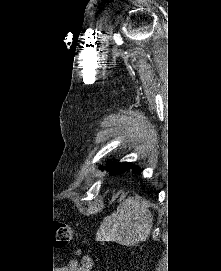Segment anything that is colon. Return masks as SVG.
Returning <instances> with one entry per match:
<instances>
[{
    "label": "colon",
    "mask_w": 221,
    "mask_h": 271,
    "mask_svg": "<svg viewBox=\"0 0 221 271\" xmlns=\"http://www.w3.org/2000/svg\"><path fill=\"white\" fill-rule=\"evenodd\" d=\"M73 228L69 223H62L56 228L55 239L58 245H66L73 239Z\"/></svg>",
    "instance_id": "1"
}]
</instances>
